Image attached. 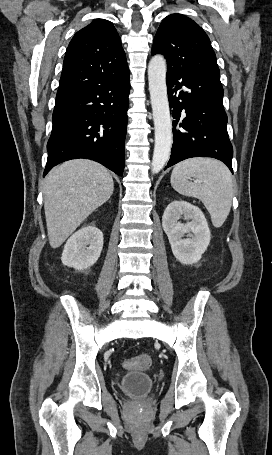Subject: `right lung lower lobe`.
Returning <instances> with one entry per match:
<instances>
[{"label":"right lung lower lobe","mask_w":272,"mask_h":455,"mask_svg":"<svg viewBox=\"0 0 272 455\" xmlns=\"http://www.w3.org/2000/svg\"><path fill=\"white\" fill-rule=\"evenodd\" d=\"M129 91L127 74L56 99L43 176L75 158L97 161L122 176Z\"/></svg>","instance_id":"right-lung-lower-lobe-1"}]
</instances>
